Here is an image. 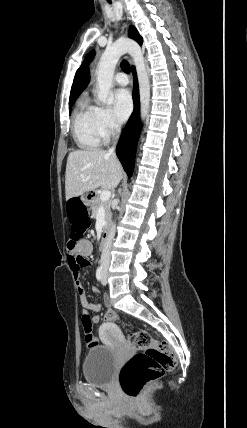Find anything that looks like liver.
Listing matches in <instances>:
<instances>
[{
	"label": "liver",
	"instance_id": "6515ba94",
	"mask_svg": "<svg viewBox=\"0 0 247 428\" xmlns=\"http://www.w3.org/2000/svg\"><path fill=\"white\" fill-rule=\"evenodd\" d=\"M123 177V168L115 154L101 149L76 150L67 158L66 200L98 187L113 190Z\"/></svg>",
	"mask_w": 247,
	"mask_h": 428
}]
</instances>
